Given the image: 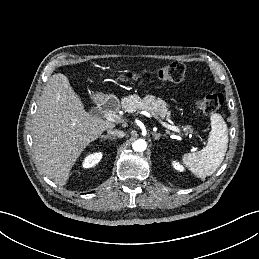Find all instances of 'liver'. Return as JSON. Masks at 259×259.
Masks as SVG:
<instances>
[{
  "mask_svg": "<svg viewBox=\"0 0 259 259\" xmlns=\"http://www.w3.org/2000/svg\"><path fill=\"white\" fill-rule=\"evenodd\" d=\"M114 127L87 113L67 76L54 74L42 91L33 119L35 160L48 178L63 186L82 151Z\"/></svg>",
  "mask_w": 259,
  "mask_h": 259,
  "instance_id": "6515ba94",
  "label": "liver"
}]
</instances>
